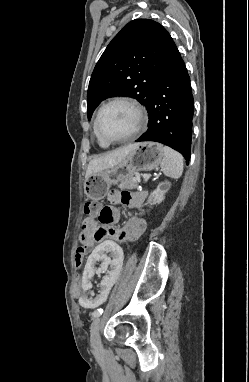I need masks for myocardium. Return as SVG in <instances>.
<instances>
[{
    "mask_svg": "<svg viewBox=\"0 0 249 382\" xmlns=\"http://www.w3.org/2000/svg\"><path fill=\"white\" fill-rule=\"evenodd\" d=\"M117 103L125 104V105H127L133 109V111L136 114V124H135V128H134L133 132L130 133L129 135L121 137V138L110 139V138L105 137L100 130V117H101L102 112L107 107H109L113 104H117ZM146 123H147L146 114H145L143 108L135 100H133L131 98H127V97H115L113 99H110L106 103H104L99 108L94 124H95L96 133H97L98 137L103 142H105L107 144H115V143L126 142V141L134 139L140 133V131L145 128Z\"/></svg>",
    "mask_w": 249,
    "mask_h": 382,
    "instance_id": "obj_1",
    "label": "myocardium"
}]
</instances>
